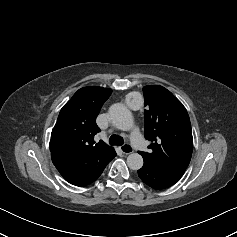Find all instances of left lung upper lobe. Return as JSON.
Returning <instances> with one entry per match:
<instances>
[{"mask_svg":"<svg viewBox=\"0 0 237 237\" xmlns=\"http://www.w3.org/2000/svg\"><path fill=\"white\" fill-rule=\"evenodd\" d=\"M146 110L145 137L149 152H139L144 162L183 175L192 156L193 137L182 103L162 86L143 87Z\"/></svg>","mask_w":237,"mask_h":237,"instance_id":"left-lung-upper-lobe-1","label":"left lung upper lobe"}]
</instances>
